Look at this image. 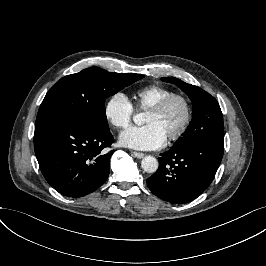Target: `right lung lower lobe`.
Here are the masks:
<instances>
[{
  "label": "right lung lower lobe",
  "instance_id": "98d812e1",
  "mask_svg": "<svg viewBox=\"0 0 266 266\" xmlns=\"http://www.w3.org/2000/svg\"><path fill=\"white\" fill-rule=\"evenodd\" d=\"M114 142L109 130L94 129L81 120L57 115L35 124L34 149L46 181L68 197H81L108 178Z\"/></svg>",
  "mask_w": 266,
  "mask_h": 266
}]
</instances>
